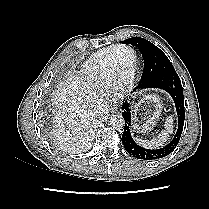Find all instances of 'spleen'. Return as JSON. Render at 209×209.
I'll return each mask as SVG.
<instances>
[{
	"label": "spleen",
	"mask_w": 209,
	"mask_h": 209,
	"mask_svg": "<svg viewBox=\"0 0 209 209\" xmlns=\"http://www.w3.org/2000/svg\"><path fill=\"white\" fill-rule=\"evenodd\" d=\"M165 130H162L160 134H158L157 137L151 139V140H140L138 139V142L148 148H156L159 146H162L169 138V135L173 132V117L169 116L166 119L165 122Z\"/></svg>",
	"instance_id": "spleen-1"
}]
</instances>
